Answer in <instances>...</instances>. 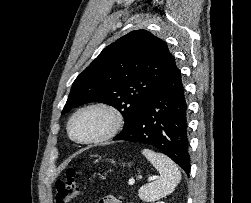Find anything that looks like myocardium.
<instances>
[{
	"instance_id": "1",
	"label": "myocardium",
	"mask_w": 251,
	"mask_h": 203,
	"mask_svg": "<svg viewBox=\"0 0 251 203\" xmlns=\"http://www.w3.org/2000/svg\"><path fill=\"white\" fill-rule=\"evenodd\" d=\"M91 110L101 111L104 114H106L109 119V123L106 129L97 136H94L89 139H78L77 137H75L72 131L73 121L79 114ZM123 124H124L123 114L115 106L108 104L106 102H92L78 108L76 111L73 112V114L69 118L67 124V130L69 137L74 142L78 144H94L113 138L121 130Z\"/></svg>"
}]
</instances>
